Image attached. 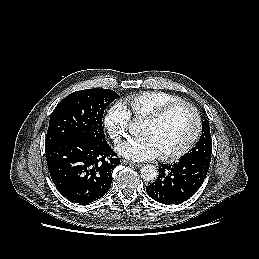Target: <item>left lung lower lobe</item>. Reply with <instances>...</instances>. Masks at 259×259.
<instances>
[{
  "label": "left lung lower lobe",
  "mask_w": 259,
  "mask_h": 259,
  "mask_svg": "<svg viewBox=\"0 0 259 259\" xmlns=\"http://www.w3.org/2000/svg\"><path fill=\"white\" fill-rule=\"evenodd\" d=\"M210 163L191 156L162 165L155 182L146 187L148 195L162 204H177L189 199L199 189Z\"/></svg>",
  "instance_id": "1"
}]
</instances>
